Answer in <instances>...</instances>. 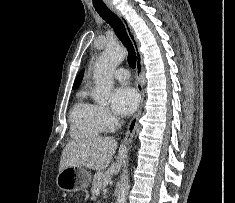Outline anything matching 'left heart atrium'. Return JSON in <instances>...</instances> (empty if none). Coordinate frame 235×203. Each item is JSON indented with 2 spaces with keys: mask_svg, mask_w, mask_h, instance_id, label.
I'll return each mask as SVG.
<instances>
[{
  "mask_svg": "<svg viewBox=\"0 0 235 203\" xmlns=\"http://www.w3.org/2000/svg\"><path fill=\"white\" fill-rule=\"evenodd\" d=\"M139 103V96L136 90L130 86H120L111 95V105L113 111L125 117L135 111Z\"/></svg>",
  "mask_w": 235,
  "mask_h": 203,
  "instance_id": "1",
  "label": "left heart atrium"
}]
</instances>
